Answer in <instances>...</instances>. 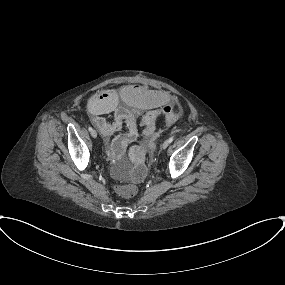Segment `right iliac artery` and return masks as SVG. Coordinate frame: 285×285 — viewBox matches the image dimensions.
Returning <instances> with one entry per match:
<instances>
[{
  "label": "right iliac artery",
  "mask_w": 285,
  "mask_h": 285,
  "mask_svg": "<svg viewBox=\"0 0 285 285\" xmlns=\"http://www.w3.org/2000/svg\"><path fill=\"white\" fill-rule=\"evenodd\" d=\"M88 130L91 132L93 129H92V127H91V126H89Z\"/></svg>",
  "instance_id": "82829eb1"
}]
</instances>
